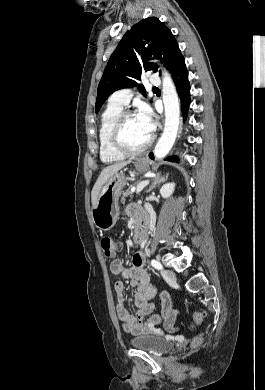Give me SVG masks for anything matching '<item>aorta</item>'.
<instances>
[{
  "label": "aorta",
  "instance_id": "1",
  "mask_svg": "<svg viewBox=\"0 0 265 390\" xmlns=\"http://www.w3.org/2000/svg\"><path fill=\"white\" fill-rule=\"evenodd\" d=\"M162 97L165 109V125L162 136L154 149L156 159L164 158L171 150L177 137L180 122L178 94L173 80L166 70L163 71Z\"/></svg>",
  "mask_w": 265,
  "mask_h": 390
}]
</instances>
